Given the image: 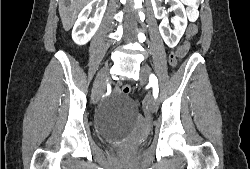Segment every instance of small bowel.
<instances>
[{
	"label": "small bowel",
	"instance_id": "obj_1",
	"mask_svg": "<svg viewBox=\"0 0 250 169\" xmlns=\"http://www.w3.org/2000/svg\"><path fill=\"white\" fill-rule=\"evenodd\" d=\"M188 47L185 45V46H182L179 50H178V56L181 57L183 56L186 51H187Z\"/></svg>",
	"mask_w": 250,
	"mask_h": 169
}]
</instances>
